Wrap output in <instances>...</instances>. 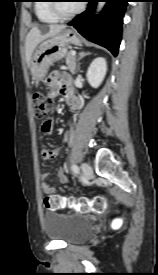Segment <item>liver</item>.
<instances>
[{"label":"liver","mask_w":158,"mask_h":275,"mask_svg":"<svg viewBox=\"0 0 158 275\" xmlns=\"http://www.w3.org/2000/svg\"><path fill=\"white\" fill-rule=\"evenodd\" d=\"M65 29L64 25H49V26H41V27H33L26 38V60L28 66H30L31 58L34 50L37 46L52 36L57 35L61 31Z\"/></svg>","instance_id":"liver-1"}]
</instances>
